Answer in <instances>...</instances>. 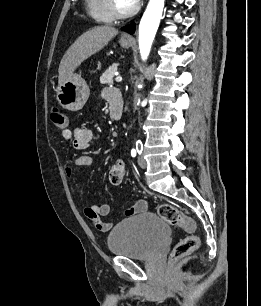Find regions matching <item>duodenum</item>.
Masks as SVG:
<instances>
[{
	"instance_id": "duodenum-1",
	"label": "duodenum",
	"mask_w": 261,
	"mask_h": 306,
	"mask_svg": "<svg viewBox=\"0 0 261 306\" xmlns=\"http://www.w3.org/2000/svg\"><path fill=\"white\" fill-rule=\"evenodd\" d=\"M110 115L114 120H119L122 116V103L114 101L110 106Z\"/></svg>"
}]
</instances>
